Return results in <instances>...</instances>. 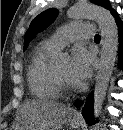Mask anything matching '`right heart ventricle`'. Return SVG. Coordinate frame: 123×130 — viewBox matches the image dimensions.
Masks as SVG:
<instances>
[{
  "label": "right heart ventricle",
  "instance_id": "right-heart-ventricle-1",
  "mask_svg": "<svg viewBox=\"0 0 123 130\" xmlns=\"http://www.w3.org/2000/svg\"><path fill=\"white\" fill-rule=\"evenodd\" d=\"M58 50L46 42L35 50L27 71L28 83L34 97L41 100H54L60 96V89L51 64L52 56Z\"/></svg>",
  "mask_w": 123,
  "mask_h": 130
}]
</instances>
